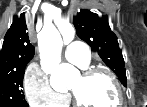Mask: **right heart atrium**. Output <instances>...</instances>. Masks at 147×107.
<instances>
[{
	"mask_svg": "<svg viewBox=\"0 0 147 107\" xmlns=\"http://www.w3.org/2000/svg\"><path fill=\"white\" fill-rule=\"evenodd\" d=\"M23 83L26 98L31 106L60 107L68 101L66 94L56 92L52 88L47 74L36 64L27 68Z\"/></svg>",
	"mask_w": 147,
	"mask_h": 107,
	"instance_id": "d8ad5b80",
	"label": "right heart atrium"
}]
</instances>
